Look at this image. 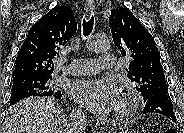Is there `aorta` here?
I'll return each instance as SVG.
<instances>
[{"instance_id": "aorta-1", "label": "aorta", "mask_w": 184, "mask_h": 133, "mask_svg": "<svg viewBox=\"0 0 184 133\" xmlns=\"http://www.w3.org/2000/svg\"><path fill=\"white\" fill-rule=\"evenodd\" d=\"M86 48L91 52L100 53L109 50L110 42L105 37L92 35L86 41Z\"/></svg>"}]
</instances>
